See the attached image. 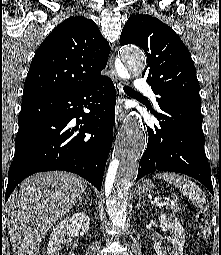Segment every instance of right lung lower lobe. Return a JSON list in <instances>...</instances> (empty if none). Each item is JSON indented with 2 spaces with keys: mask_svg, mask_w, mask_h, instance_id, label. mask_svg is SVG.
<instances>
[{
  "mask_svg": "<svg viewBox=\"0 0 221 255\" xmlns=\"http://www.w3.org/2000/svg\"><path fill=\"white\" fill-rule=\"evenodd\" d=\"M115 100L114 84L103 76L79 89L22 102L5 201L26 177L52 170L76 173L100 191L112 146Z\"/></svg>",
  "mask_w": 221,
  "mask_h": 255,
  "instance_id": "1",
  "label": "right lung lower lobe"
}]
</instances>
